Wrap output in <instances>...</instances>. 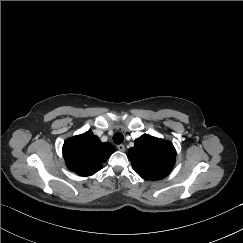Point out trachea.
Here are the masks:
<instances>
[{
    "instance_id": "3493384b",
    "label": "trachea",
    "mask_w": 243,
    "mask_h": 243,
    "mask_svg": "<svg viewBox=\"0 0 243 243\" xmlns=\"http://www.w3.org/2000/svg\"><path fill=\"white\" fill-rule=\"evenodd\" d=\"M113 141L116 144H121L124 141V135L121 132H116L113 135Z\"/></svg>"
}]
</instances>
